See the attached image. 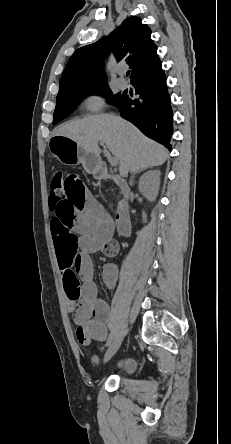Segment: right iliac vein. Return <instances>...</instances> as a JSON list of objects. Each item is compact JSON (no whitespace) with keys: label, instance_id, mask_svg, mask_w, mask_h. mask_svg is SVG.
Wrapping results in <instances>:
<instances>
[{"label":"right iliac vein","instance_id":"63e3f726","mask_svg":"<svg viewBox=\"0 0 231 444\" xmlns=\"http://www.w3.org/2000/svg\"><path fill=\"white\" fill-rule=\"evenodd\" d=\"M122 341H123V333L121 332L117 336V338L113 341V343L110 345L108 350L106 351L105 356H104V361L105 362L109 361L114 356V354L119 349Z\"/></svg>","mask_w":231,"mask_h":444}]
</instances>
